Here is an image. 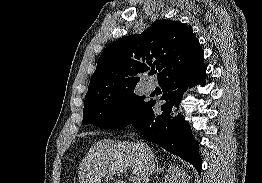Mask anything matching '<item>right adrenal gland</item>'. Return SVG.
Listing matches in <instances>:
<instances>
[{"mask_svg": "<svg viewBox=\"0 0 262 183\" xmlns=\"http://www.w3.org/2000/svg\"><path fill=\"white\" fill-rule=\"evenodd\" d=\"M164 171V167H161L160 165H159V163H158V161L156 160V177H155V180H156V183H158V181H159V174H161V172H163Z\"/></svg>", "mask_w": 262, "mask_h": 183, "instance_id": "1", "label": "right adrenal gland"}]
</instances>
